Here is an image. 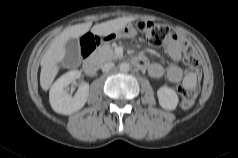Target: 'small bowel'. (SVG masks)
<instances>
[{"label": "small bowel", "instance_id": "small-bowel-1", "mask_svg": "<svg viewBox=\"0 0 238 158\" xmlns=\"http://www.w3.org/2000/svg\"><path fill=\"white\" fill-rule=\"evenodd\" d=\"M186 45V41L182 37L176 35L166 42L165 49L170 58L175 63H178L181 60ZM142 60L145 62L144 68L152 78L159 79L166 75L167 79L172 83H179L182 80L183 71L177 64L165 68L159 63H149L145 59Z\"/></svg>", "mask_w": 238, "mask_h": 158}]
</instances>
